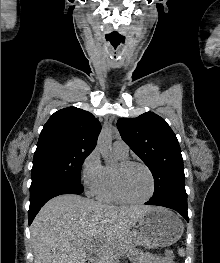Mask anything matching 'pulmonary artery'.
<instances>
[{
  "instance_id": "e3ab8cb5",
  "label": "pulmonary artery",
  "mask_w": 220,
  "mask_h": 263,
  "mask_svg": "<svg viewBox=\"0 0 220 263\" xmlns=\"http://www.w3.org/2000/svg\"><path fill=\"white\" fill-rule=\"evenodd\" d=\"M113 150L122 156H127L129 147L123 140H116L113 143Z\"/></svg>"
}]
</instances>
